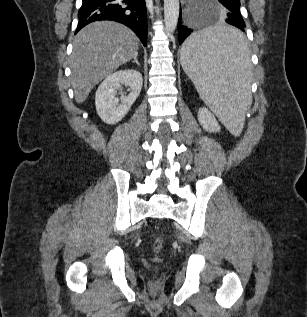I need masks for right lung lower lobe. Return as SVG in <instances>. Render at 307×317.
<instances>
[{"instance_id":"right-lung-lower-lobe-1","label":"right lung lower lobe","mask_w":307,"mask_h":317,"mask_svg":"<svg viewBox=\"0 0 307 317\" xmlns=\"http://www.w3.org/2000/svg\"><path fill=\"white\" fill-rule=\"evenodd\" d=\"M83 0L79 9L76 33L87 24L98 20H113L132 29L144 46L147 43V13L145 0Z\"/></svg>"}]
</instances>
